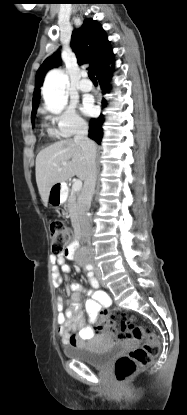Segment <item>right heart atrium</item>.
<instances>
[{
	"mask_svg": "<svg viewBox=\"0 0 187 415\" xmlns=\"http://www.w3.org/2000/svg\"><path fill=\"white\" fill-rule=\"evenodd\" d=\"M47 119L53 126L54 134L61 138L81 134L87 128L85 120L78 115L72 106L64 108L58 114L47 115Z\"/></svg>",
	"mask_w": 187,
	"mask_h": 415,
	"instance_id": "obj_1",
	"label": "right heart atrium"
}]
</instances>
